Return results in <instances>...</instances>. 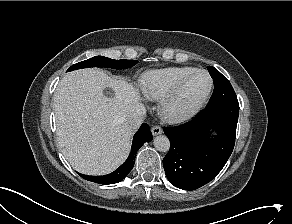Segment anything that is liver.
Here are the masks:
<instances>
[{
    "mask_svg": "<svg viewBox=\"0 0 292 224\" xmlns=\"http://www.w3.org/2000/svg\"><path fill=\"white\" fill-rule=\"evenodd\" d=\"M111 88L113 97L104 95ZM140 100L125 79L99 69L70 72L54 93L57 141L70 165L87 175H105L128 157L134 132L128 113Z\"/></svg>",
    "mask_w": 292,
    "mask_h": 224,
    "instance_id": "obj_1",
    "label": "liver"
}]
</instances>
